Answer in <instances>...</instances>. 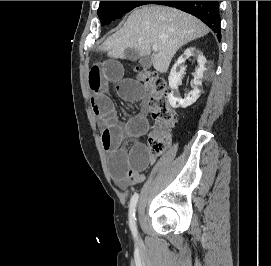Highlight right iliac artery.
I'll return each mask as SVG.
<instances>
[{"label":"right iliac artery","mask_w":271,"mask_h":266,"mask_svg":"<svg viewBox=\"0 0 271 266\" xmlns=\"http://www.w3.org/2000/svg\"><path fill=\"white\" fill-rule=\"evenodd\" d=\"M138 201V194L135 193L130 200V209H129V225L134 237H137L136 229V218H135V209Z\"/></svg>","instance_id":"82829eb1"}]
</instances>
